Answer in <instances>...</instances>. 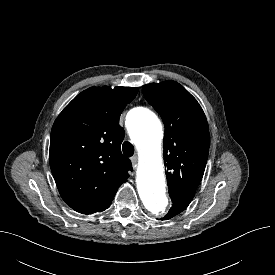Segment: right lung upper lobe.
<instances>
[{"instance_id":"obj_1","label":"right lung upper lobe","mask_w":275,"mask_h":275,"mask_svg":"<svg viewBox=\"0 0 275 275\" xmlns=\"http://www.w3.org/2000/svg\"><path fill=\"white\" fill-rule=\"evenodd\" d=\"M131 87H91L77 95L55 120L50 167L63 200L75 211L107 209L132 171L122 155L119 117L137 95Z\"/></svg>"}]
</instances>
